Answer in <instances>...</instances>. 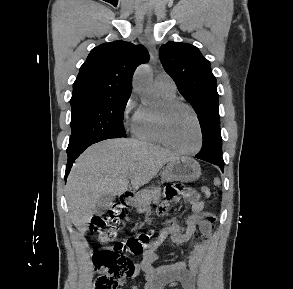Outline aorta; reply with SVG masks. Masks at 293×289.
Returning a JSON list of instances; mask_svg holds the SVG:
<instances>
[{
	"mask_svg": "<svg viewBox=\"0 0 293 289\" xmlns=\"http://www.w3.org/2000/svg\"><path fill=\"white\" fill-rule=\"evenodd\" d=\"M133 88L140 93L143 104H152L156 101L152 70L148 65H141L137 68L133 78Z\"/></svg>",
	"mask_w": 293,
	"mask_h": 289,
	"instance_id": "obj_1",
	"label": "aorta"
}]
</instances>
